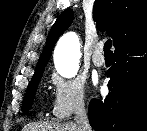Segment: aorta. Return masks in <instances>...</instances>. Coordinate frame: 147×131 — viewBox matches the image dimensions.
Returning <instances> with one entry per match:
<instances>
[{
  "mask_svg": "<svg viewBox=\"0 0 147 131\" xmlns=\"http://www.w3.org/2000/svg\"><path fill=\"white\" fill-rule=\"evenodd\" d=\"M80 41L73 33L63 35L54 51V64L57 72L65 78L74 77L79 69Z\"/></svg>",
  "mask_w": 147,
  "mask_h": 131,
  "instance_id": "aorta-1",
  "label": "aorta"
}]
</instances>
